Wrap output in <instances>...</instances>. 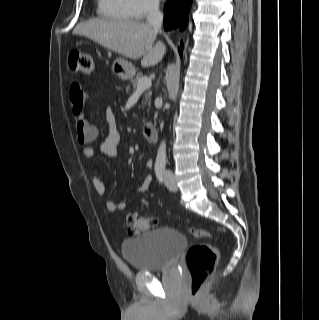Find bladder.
Returning <instances> with one entry per match:
<instances>
[{
    "label": "bladder",
    "mask_w": 319,
    "mask_h": 320,
    "mask_svg": "<svg viewBox=\"0 0 319 320\" xmlns=\"http://www.w3.org/2000/svg\"><path fill=\"white\" fill-rule=\"evenodd\" d=\"M188 246L184 233L173 228H156L125 239L122 253L136 271L152 272L170 268Z\"/></svg>",
    "instance_id": "1"
}]
</instances>
